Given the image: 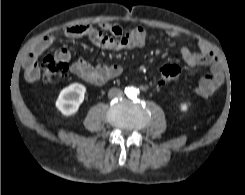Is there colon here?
Instances as JSON below:
<instances>
[{
    "instance_id": "1",
    "label": "colon",
    "mask_w": 245,
    "mask_h": 195,
    "mask_svg": "<svg viewBox=\"0 0 245 195\" xmlns=\"http://www.w3.org/2000/svg\"><path fill=\"white\" fill-rule=\"evenodd\" d=\"M42 80L51 83L65 77L68 71L66 61L46 56L41 63ZM181 69L177 64H165L159 69V82L163 85L169 84L178 79Z\"/></svg>"
}]
</instances>
